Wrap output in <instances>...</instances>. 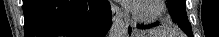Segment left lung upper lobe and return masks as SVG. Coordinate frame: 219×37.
Here are the masks:
<instances>
[{
  "label": "left lung upper lobe",
  "mask_w": 219,
  "mask_h": 37,
  "mask_svg": "<svg viewBox=\"0 0 219 37\" xmlns=\"http://www.w3.org/2000/svg\"><path fill=\"white\" fill-rule=\"evenodd\" d=\"M167 3L174 22L178 23L186 34H192V28L187 19L185 0H167Z\"/></svg>",
  "instance_id": "obj_1"
}]
</instances>
